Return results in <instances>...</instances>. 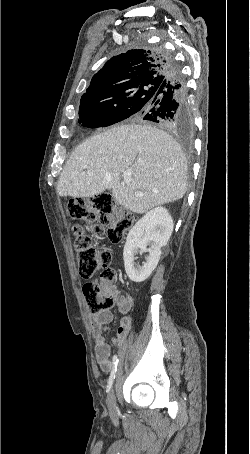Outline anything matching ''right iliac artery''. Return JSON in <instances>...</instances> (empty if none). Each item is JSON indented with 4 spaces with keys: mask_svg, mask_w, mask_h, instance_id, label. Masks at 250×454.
<instances>
[{
    "mask_svg": "<svg viewBox=\"0 0 250 454\" xmlns=\"http://www.w3.org/2000/svg\"><path fill=\"white\" fill-rule=\"evenodd\" d=\"M118 362H119L118 356L114 355L113 356V367H112V370H111V373H110V376H109V379H108V385H107L108 389H110L112 387V385H113V382H114V379H115V376H116V372H117Z\"/></svg>",
    "mask_w": 250,
    "mask_h": 454,
    "instance_id": "right-iliac-artery-1",
    "label": "right iliac artery"
}]
</instances>
